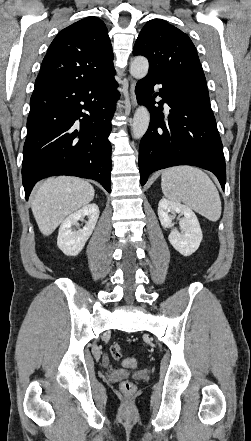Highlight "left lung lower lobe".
<instances>
[{"label": "left lung lower lobe", "instance_id": "obj_1", "mask_svg": "<svg viewBox=\"0 0 251 441\" xmlns=\"http://www.w3.org/2000/svg\"><path fill=\"white\" fill-rule=\"evenodd\" d=\"M162 84L154 94V85ZM137 101L148 107L151 122L139 147L140 182L157 170L192 165L211 171L222 188L226 183L223 146L206 86L191 80L147 74L135 89ZM163 100L155 106L154 98ZM171 109L163 113V103Z\"/></svg>", "mask_w": 251, "mask_h": 441}]
</instances>
